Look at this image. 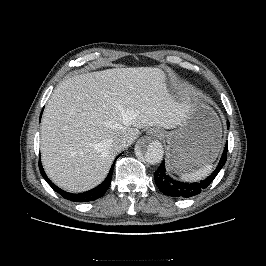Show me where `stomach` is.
I'll return each instance as SVG.
<instances>
[{"mask_svg":"<svg viewBox=\"0 0 266 266\" xmlns=\"http://www.w3.org/2000/svg\"><path fill=\"white\" fill-rule=\"evenodd\" d=\"M171 171L192 172L213 162L222 147V129L209 104L193 95L179 127L165 134Z\"/></svg>","mask_w":266,"mask_h":266,"instance_id":"stomach-1","label":"stomach"}]
</instances>
